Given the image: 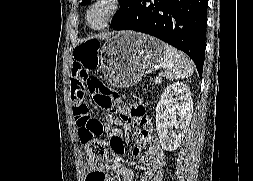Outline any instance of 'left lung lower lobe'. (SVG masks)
Instances as JSON below:
<instances>
[{
    "instance_id": "left-lung-lower-lobe-1",
    "label": "left lung lower lobe",
    "mask_w": 253,
    "mask_h": 181,
    "mask_svg": "<svg viewBox=\"0 0 253 181\" xmlns=\"http://www.w3.org/2000/svg\"><path fill=\"white\" fill-rule=\"evenodd\" d=\"M208 0H135L131 11L112 27L146 33L185 52L202 76Z\"/></svg>"
}]
</instances>
